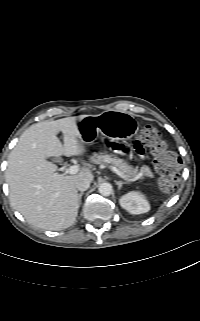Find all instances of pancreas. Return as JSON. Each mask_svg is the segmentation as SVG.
Returning a JSON list of instances; mask_svg holds the SVG:
<instances>
[{
	"label": "pancreas",
	"instance_id": "1",
	"mask_svg": "<svg viewBox=\"0 0 200 321\" xmlns=\"http://www.w3.org/2000/svg\"><path fill=\"white\" fill-rule=\"evenodd\" d=\"M91 162L94 164H106L109 166H113L119 169L124 175L129 178H135L138 176L139 178H143L145 176L152 177V172L148 167H141L138 170V167L133 168L123 159L117 158L113 154L101 153V154H94L90 158Z\"/></svg>",
	"mask_w": 200,
	"mask_h": 321
}]
</instances>
